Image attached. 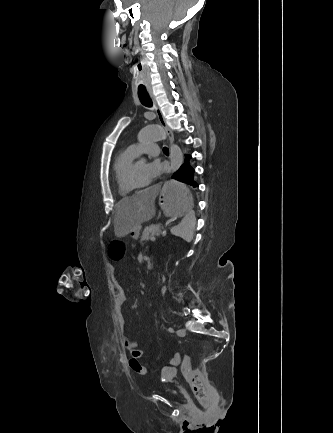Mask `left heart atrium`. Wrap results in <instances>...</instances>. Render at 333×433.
Segmentation results:
<instances>
[{
  "instance_id": "1",
  "label": "left heart atrium",
  "mask_w": 333,
  "mask_h": 433,
  "mask_svg": "<svg viewBox=\"0 0 333 433\" xmlns=\"http://www.w3.org/2000/svg\"><path fill=\"white\" fill-rule=\"evenodd\" d=\"M163 170V165L158 160H153L147 166V179L151 181L156 178Z\"/></svg>"
}]
</instances>
